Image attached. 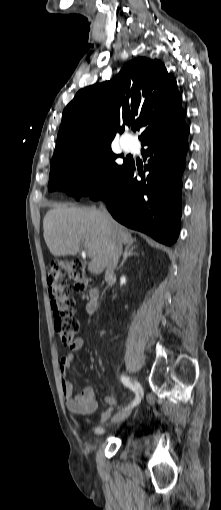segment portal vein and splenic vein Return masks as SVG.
I'll return each mask as SVG.
<instances>
[{
  "instance_id": "portal-vein-and-splenic-vein-1",
  "label": "portal vein and splenic vein",
  "mask_w": 221,
  "mask_h": 510,
  "mask_svg": "<svg viewBox=\"0 0 221 510\" xmlns=\"http://www.w3.org/2000/svg\"><path fill=\"white\" fill-rule=\"evenodd\" d=\"M87 255H88L89 257H91V256H92V253H91L90 251H87Z\"/></svg>"
}]
</instances>
